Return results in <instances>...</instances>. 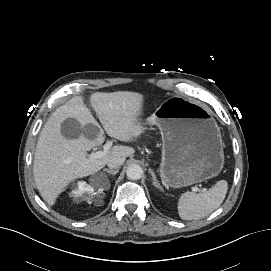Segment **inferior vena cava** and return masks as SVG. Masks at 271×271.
<instances>
[{
    "label": "inferior vena cava",
    "mask_w": 271,
    "mask_h": 271,
    "mask_svg": "<svg viewBox=\"0 0 271 271\" xmlns=\"http://www.w3.org/2000/svg\"><path fill=\"white\" fill-rule=\"evenodd\" d=\"M124 161V157H115L110 159L107 164L110 169H117L124 163Z\"/></svg>",
    "instance_id": "obj_1"
}]
</instances>
